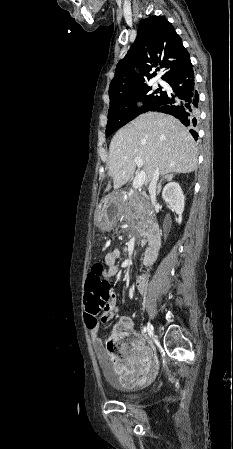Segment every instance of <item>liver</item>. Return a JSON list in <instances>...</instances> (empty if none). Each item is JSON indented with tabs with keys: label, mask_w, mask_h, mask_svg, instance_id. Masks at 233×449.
<instances>
[{
	"label": "liver",
	"mask_w": 233,
	"mask_h": 449,
	"mask_svg": "<svg viewBox=\"0 0 233 449\" xmlns=\"http://www.w3.org/2000/svg\"><path fill=\"white\" fill-rule=\"evenodd\" d=\"M197 156L193 137L178 119L147 112L122 127L112 138L109 176L113 178L114 189L120 188L134 175V158L140 157L148 183L156 169L161 175L196 170Z\"/></svg>",
	"instance_id": "1"
}]
</instances>
